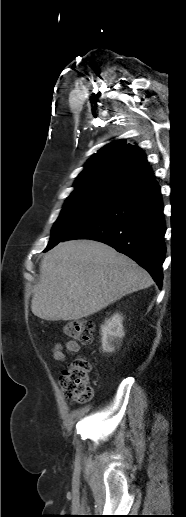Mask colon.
I'll return each mask as SVG.
<instances>
[{"label": "colon", "instance_id": "5ec220e1", "mask_svg": "<svg viewBox=\"0 0 186 517\" xmlns=\"http://www.w3.org/2000/svg\"><path fill=\"white\" fill-rule=\"evenodd\" d=\"M95 324L91 320L76 319L63 326V333L74 341L90 344L93 341ZM90 362L85 357L71 361L61 372L60 388L67 400L73 403H85L92 397L90 382Z\"/></svg>", "mask_w": 186, "mask_h": 517}]
</instances>
